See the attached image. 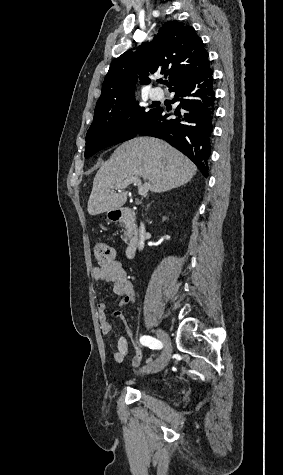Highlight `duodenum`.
I'll list each match as a JSON object with an SVG mask.
<instances>
[{
    "instance_id": "1",
    "label": "duodenum",
    "mask_w": 283,
    "mask_h": 475,
    "mask_svg": "<svg viewBox=\"0 0 283 475\" xmlns=\"http://www.w3.org/2000/svg\"><path fill=\"white\" fill-rule=\"evenodd\" d=\"M111 219L115 222L124 223L128 230V242L125 249V255L131 259L135 256L138 244V226L136 221V213L131 208H120L114 211L111 215Z\"/></svg>"
}]
</instances>
